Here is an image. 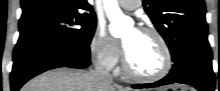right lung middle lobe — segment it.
I'll use <instances>...</instances> for the list:
<instances>
[{"mask_svg":"<svg viewBox=\"0 0 220 91\" xmlns=\"http://www.w3.org/2000/svg\"><path fill=\"white\" fill-rule=\"evenodd\" d=\"M95 14L70 12L45 16L19 24L21 35H45L73 47L90 45L96 28Z\"/></svg>","mask_w":220,"mask_h":91,"instance_id":"dd1d6c3e","label":"right lung middle lobe"}]
</instances>
